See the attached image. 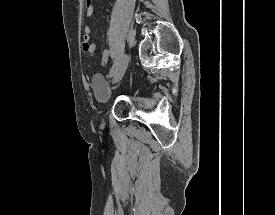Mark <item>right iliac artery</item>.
<instances>
[{
	"label": "right iliac artery",
	"mask_w": 275,
	"mask_h": 215,
	"mask_svg": "<svg viewBox=\"0 0 275 215\" xmlns=\"http://www.w3.org/2000/svg\"><path fill=\"white\" fill-rule=\"evenodd\" d=\"M118 65H119V59L117 58L114 61L113 65H112V68H111L109 76H112V73L117 69Z\"/></svg>",
	"instance_id": "right-iliac-artery-1"
}]
</instances>
